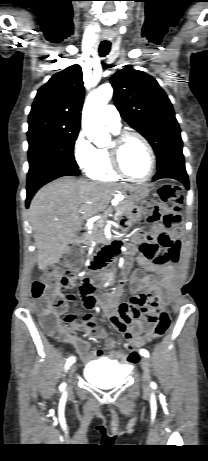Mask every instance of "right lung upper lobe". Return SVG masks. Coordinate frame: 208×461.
Wrapping results in <instances>:
<instances>
[{
    "label": "right lung upper lobe",
    "instance_id": "cb5924a9",
    "mask_svg": "<svg viewBox=\"0 0 208 461\" xmlns=\"http://www.w3.org/2000/svg\"><path fill=\"white\" fill-rule=\"evenodd\" d=\"M83 99L82 69L79 65L70 66L38 90L29 119H57L80 125Z\"/></svg>",
    "mask_w": 208,
    "mask_h": 461
}]
</instances>
